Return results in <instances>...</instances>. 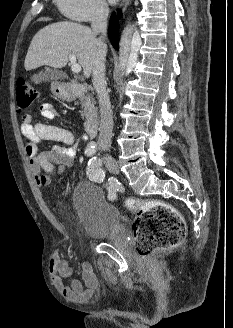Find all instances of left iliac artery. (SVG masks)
Listing matches in <instances>:
<instances>
[{"mask_svg": "<svg viewBox=\"0 0 233 328\" xmlns=\"http://www.w3.org/2000/svg\"><path fill=\"white\" fill-rule=\"evenodd\" d=\"M102 161L96 157H93L88 162L87 175L89 179L95 182H103L105 173L101 168Z\"/></svg>", "mask_w": 233, "mask_h": 328, "instance_id": "44dca946", "label": "left iliac artery"}]
</instances>
